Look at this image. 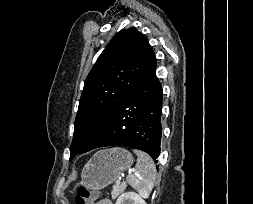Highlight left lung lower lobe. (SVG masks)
<instances>
[{"label": "left lung lower lobe", "mask_w": 253, "mask_h": 204, "mask_svg": "<svg viewBox=\"0 0 253 204\" xmlns=\"http://www.w3.org/2000/svg\"><path fill=\"white\" fill-rule=\"evenodd\" d=\"M155 70L154 56L140 83L111 113L82 153L121 145L145 151L154 160L158 158L162 135V87Z\"/></svg>", "instance_id": "left-lung-lower-lobe-1"}]
</instances>
